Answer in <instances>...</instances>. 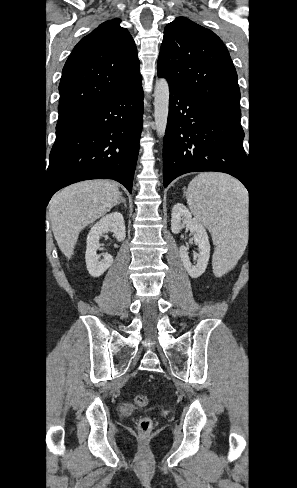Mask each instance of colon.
<instances>
[{
  "label": "colon",
  "mask_w": 297,
  "mask_h": 488,
  "mask_svg": "<svg viewBox=\"0 0 297 488\" xmlns=\"http://www.w3.org/2000/svg\"><path fill=\"white\" fill-rule=\"evenodd\" d=\"M134 401L138 406H146L148 404V397L145 395H136ZM152 427L153 421L149 417L141 418L138 423V430L143 434L149 433L152 430Z\"/></svg>",
  "instance_id": "obj_1"
}]
</instances>
